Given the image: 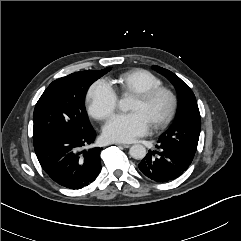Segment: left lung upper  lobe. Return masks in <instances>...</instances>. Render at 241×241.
Masks as SVG:
<instances>
[{
  "instance_id": "obj_1",
  "label": "left lung upper lobe",
  "mask_w": 241,
  "mask_h": 241,
  "mask_svg": "<svg viewBox=\"0 0 241 241\" xmlns=\"http://www.w3.org/2000/svg\"><path fill=\"white\" fill-rule=\"evenodd\" d=\"M154 68L174 85L180 101L179 112L175 122L159 137L158 142L173 147L187 160L192 162L201 130L200 112L195 95L192 90L171 71L159 66H154Z\"/></svg>"
}]
</instances>
